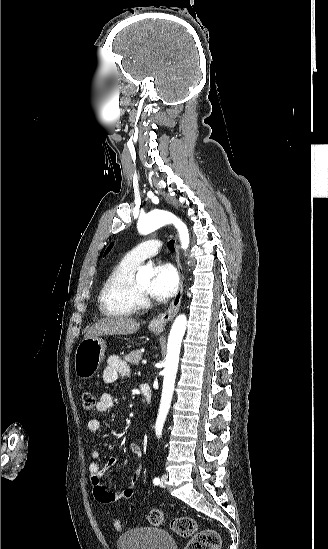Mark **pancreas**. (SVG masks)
<instances>
[{
    "mask_svg": "<svg viewBox=\"0 0 328 549\" xmlns=\"http://www.w3.org/2000/svg\"><path fill=\"white\" fill-rule=\"evenodd\" d=\"M124 359L125 361H127V363H132V365H139V361H141L142 355L140 351H131L129 355H125Z\"/></svg>",
    "mask_w": 328,
    "mask_h": 549,
    "instance_id": "pancreas-1",
    "label": "pancreas"
}]
</instances>
